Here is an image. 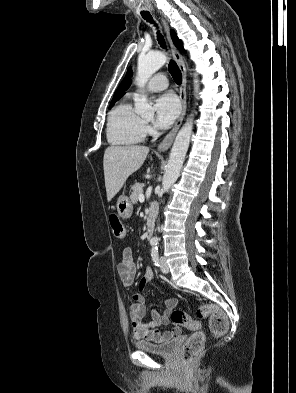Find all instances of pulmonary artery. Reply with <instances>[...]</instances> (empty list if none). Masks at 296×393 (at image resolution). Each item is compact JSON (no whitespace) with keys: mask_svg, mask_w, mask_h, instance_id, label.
<instances>
[{"mask_svg":"<svg viewBox=\"0 0 296 393\" xmlns=\"http://www.w3.org/2000/svg\"><path fill=\"white\" fill-rule=\"evenodd\" d=\"M168 84L169 83H168L167 77L164 74L159 73V74H156L155 76H153L149 80V82L147 84V90L149 92L162 91L168 87ZM138 94H139L138 90L133 92L134 96H137Z\"/></svg>","mask_w":296,"mask_h":393,"instance_id":"obj_1","label":"pulmonary artery"}]
</instances>
